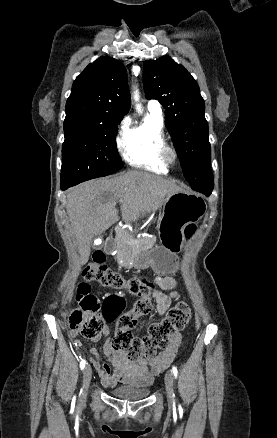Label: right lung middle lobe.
<instances>
[{"label": "right lung middle lobe", "mask_w": 277, "mask_h": 438, "mask_svg": "<svg viewBox=\"0 0 277 438\" xmlns=\"http://www.w3.org/2000/svg\"><path fill=\"white\" fill-rule=\"evenodd\" d=\"M120 122L88 119H65V141L62 147L61 184L76 185L120 170L116 148Z\"/></svg>", "instance_id": "1"}]
</instances>
